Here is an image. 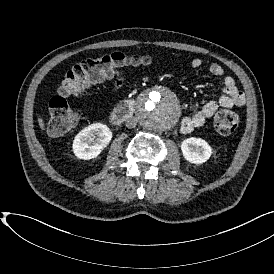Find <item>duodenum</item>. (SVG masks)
Listing matches in <instances>:
<instances>
[{"label": "duodenum", "mask_w": 274, "mask_h": 274, "mask_svg": "<svg viewBox=\"0 0 274 274\" xmlns=\"http://www.w3.org/2000/svg\"><path fill=\"white\" fill-rule=\"evenodd\" d=\"M136 101L127 99L118 105L111 113V121L114 124H120L133 115Z\"/></svg>", "instance_id": "410a0bca"}]
</instances>
